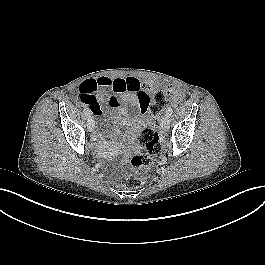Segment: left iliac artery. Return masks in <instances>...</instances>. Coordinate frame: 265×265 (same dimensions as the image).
<instances>
[{
	"instance_id": "44dca946",
	"label": "left iliac artery",
	"mask_w": 265,
	"mask_h": 265,
	"mask_svg": "<svg viewBox=\"0 0 265 265\" xmlns=\"http://www.w3.org/2000/svg\"><path fill=\"white\" fill-rule=\"evenodd\" d=\"M172 113H173V108H172V107H169V108L166 110V115H167V116H170Z\"/></svg>"
}]
</instances>
